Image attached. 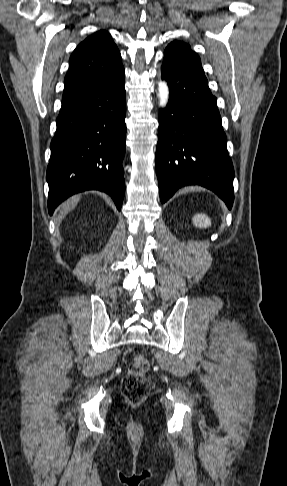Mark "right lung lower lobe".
<instances>
[{
  "instance_id": "right-lung-lower-lobe-1",
  "label": "right lung lower lobe",
  "mask_w": 287,
  "mask_h": 486,
  "mask_svg": "<svg viewBox=\"0 0 287 486\" xmlns=\"http://www.w3.org/2000/svg\"><path fill=\"white\" fill-rule=\"evenodd\" d=\"M124 77L62 102L47 168L50 214L66 198L85 190L106 192L121 209L126 150Z\"/></svg>"
}]
</instances>
